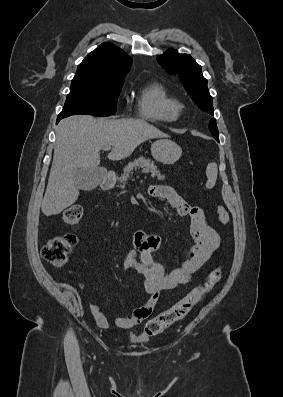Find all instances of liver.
I'll use <instances>...</instances> for the list:
<instances>
[{
    "label": "liver",
    "instance_id": "obj_1",
    "mask_svg": "<svg viewBox=\"0 0 283 397\" xmlns=\"http://www.w3.org/2000/svg\"><path fill=\"white\" fill-rule=\"evenodd\" d=\"M167 135L142 119H95L75 115L56 128L54 156L41 209L44 215L61 213L79 196L75 173L79 168H98L100 150L111 146L113 161L130 156L138 145Z\"/></svg>",
    "mask_w": 283,
    "mask_h": 397
}]
</instances>
